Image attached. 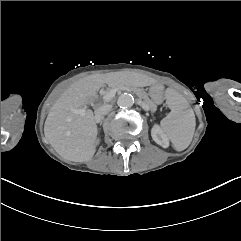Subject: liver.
Returning a JSON list of instances; mask_svg holds the SVG:
<instances>
[{
	"label": "liver",
	"mask_w": 241,
	"mask_h": 241,
	"mask_svg": "<svg viewBox=\"0 0 241 241\" xmlns=\"http://www.w3.org/2000/svg\"><path fill=\"white\" fill-rule=\"evenodd\" d=\"M122 79L117 73L90 75L73 83L56 100L45 121L44 134L60 156L73 162H86L93 157L97 145L93 112L88 109L85 116H80L70 109L85 108L104 84L113 87Z\"/></svg>",
	"instance_id": "1"
}]
</instances>
